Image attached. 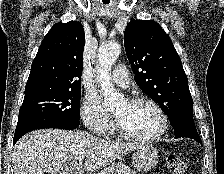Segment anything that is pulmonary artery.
Instances as JSON below:
<instances>
[{
	"instance_id": "1",
	"label": "pulmonary artery",
	"mask_w": 224,
	"mask_h": 174,
	"mask_svg": "<svg viewBox=\"0 0 224 174\" xmlns=\"http://www.w3.org/2000/svg\"><path fill=\"white\" fill-rule=\"evenodd\" d=\"M113 82L122 87V88H127L130 84V79L128 77V73L123 66H119L115 68V70L112 73L111 76Z\"/></svg>"
}]
</instances>
